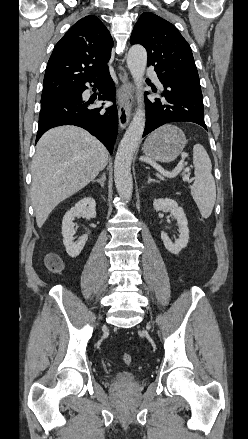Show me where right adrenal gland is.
<instances>
[{
    "label": "right adrenal gland",
    "instance_id": "1",
    "mask_svg": "<svg viewBox=\"0 0 248 439\" xmlns=\"http://www.w3.org/2000/svg\"><path fill=\"white\" fill-rule=\"evenodd\" d=\"M105 181H106V175H105V173H103L102 176H101V178H100V179H97V180H94L93 183H94V182H98V183L100 184V186H101L102 188H104Z\"/></svg>",
    "mask_w": 248,
    "mask_h": 439
}]
</instances>
